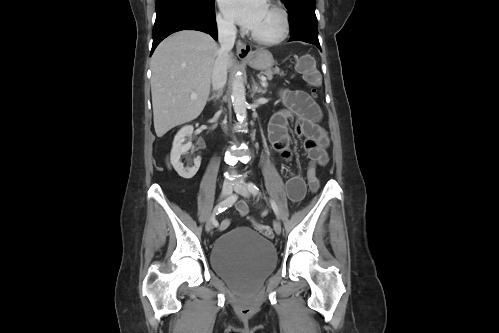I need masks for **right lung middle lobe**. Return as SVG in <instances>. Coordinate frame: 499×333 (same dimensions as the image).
<instances>
[{"label": "right lung middle lobe", "instance_id": "1", "mask_svg": "<svg viewBox=\"0 0 499 333\" xmlns=\"http://www.w3.org/2000/svg\"><path fill=\"white\" fill-rule=\"evenodd\" d=\"M215 0H156L157 16L176 10L206 14L214 10Z\"/></svg>", "mask_w": 499, "mask_h": 333}]
</instances>
